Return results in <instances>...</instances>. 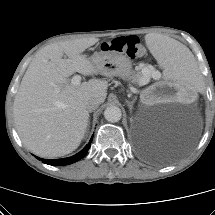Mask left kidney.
<instances>
[{
    "mask_svg": "<svg viewBox=\"0 0 215 215\" xmlns=\"http://www.w3.org/2000/svg\"><path fill=\"white\" fill-rule=\"evenodd\" d=\"M195 98L196 94L190 93L185 84L174 82H164L159 85L150 86L142 92V99L146 103H153L160 100L192 102Z\"/></svg>",
    "mask_w": 215,
    "mask_h": 215,
    "instance_id": "obj_1",
    "label": "left kidney"
}]
</instances>
